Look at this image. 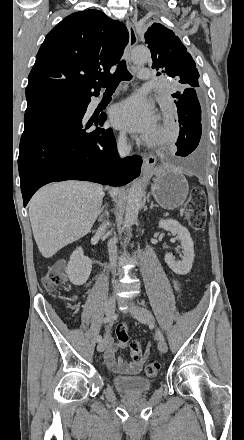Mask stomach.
<instances>
[{"label": "stomach", "instance_id": "stomach-1", "mask_svg": "<svg viewBox=\"0 0 244 440\" xmlns=\"http://www.w3.org/2000/svg\"><path fill=\"white\" fill-rule=\"evenodd\" d=\"M148 176H155L151 192L159 206L164 210H175L184 204L188 192V182L177 168H161L153 170Z\"/></svg>", "mask_w": 244, "mask_h": 440}]
</instances>
